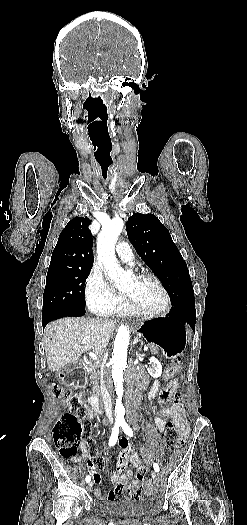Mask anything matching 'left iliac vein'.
I'll return each mask as SVG.
<instances>
[{
	"instance_id": "1",
	"label": "left iliac vein",
	"mask_w": 247,
	"mask_h": 525,
	"mask_svg": "<svg viewBox=\"0 0 247 525\" xmlns=\"http://www.w3.org/2000/svg\"><path fill=\"white\" fill-rule=\"evenodd\" d=\"M156 477H157L156 472L153 471V472H152V478H153V479H156Z\"/></svg>"
}]
</instances>
